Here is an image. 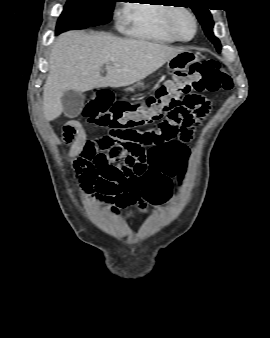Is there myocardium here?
<instances>
[{
  "mask_svg": "<svg viewBox=\"0 0 270 338\" xmlns=\"http://www.w3.org/2000/svg\"><path fill=\"white\" fill-rule=\"evenodd\" d=\"M181 15H186L188 16L193 24V33L190 37L184 38L182 36L179 35L178 31H177V19L179 16ZM167 28L169 30V32L171 33V35L175 38V40L177 41H182V42H188L191 41L197 32V19L196 16L188 9L186 8H182V7H177V9H175L174 11H172L168 17L167 20Z\"/></svg>",
  "mask_w": 270,
  "mask_h": 338,
  "instance_id": "myocardium-1",
  "label": "myocardium"
}]
</instances>
